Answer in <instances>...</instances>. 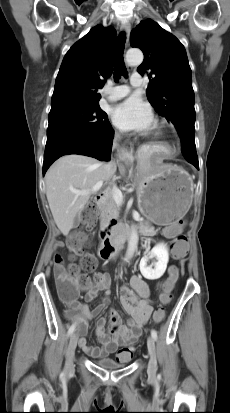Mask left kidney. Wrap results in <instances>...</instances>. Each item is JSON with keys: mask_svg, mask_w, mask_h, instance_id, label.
<instances>
[{"mask_svg": "<svg viewBox=\"0 0 230 413\" xmlns=\"http://www.w3.org/2000/svg\"><path fill=\"white\" fill-rule=\"evenodd\" d=\"M156 258L154 269L147 265L149 259ZM169 261L168 249L165 244H157L149 254L145 255L140 261V272L148 280L159 279L167 268Z\"/></svg>", "mask_w": 230, "mask_h": 413, "instance_id": "5707ae66", "label": "left kidney"}]
</instances>
